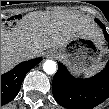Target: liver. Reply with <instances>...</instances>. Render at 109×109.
Segmentation results:
<instances>
[{
	"label": "liver",
	"instance_id": "liver-1",
	"mask_svg": "<svg viewBox=\"0 0 109 109\" xmlns=\"http://www.w3.org/2000/svg\"><path fill=\"white\" fill-rule=\"evenodd\" d=\"M104 41L102 30L74 11H36L25 15L11 29L1 28V72L23 61L19 52L29 49L38 57L50 48H61L75 36Z\"/></svg>",
	"mask_w": 109,
	"mask_h": 109
}]
</instances>
